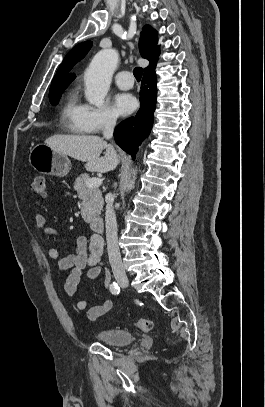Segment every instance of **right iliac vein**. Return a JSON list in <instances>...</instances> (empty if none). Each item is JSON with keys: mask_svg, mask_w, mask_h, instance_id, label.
<instances>
[{"mask_svg": "<svg viewBox=\"0 0 265 407\" xmlns=\"http://www.w3.org/2000/svg\"><path fill=\"white\" fill-rule=\"evenodd\" d=\"M119 285L127 287L129 285L128 279L126 277L117 278Z\"/></svg>", "mask_w": 265, "mask_h": 407, "instance_id": "63e3f726", "label": "right iliac vein"}]
</instances>
